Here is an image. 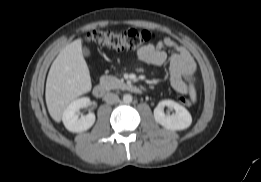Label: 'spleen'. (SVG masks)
<instances>
[{
	"label": "spleen",
	"mask_w": 261,
	"mask_h": 182,
	"mask_svg": "<svg viewBox=\"0 0 261 182\" xmlns=\"http://www.w3.org/2000/svg\"><path fill=\"white\" fill-rule=\"evenodd\" d=\"M191 96H192L193 99H195V92H194L193 89L191 90Z\"/></svg>",
	"instance_id": "3e777b00"
}]
</instances>
